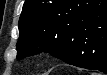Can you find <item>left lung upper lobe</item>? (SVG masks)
Masks as SVG:
<instances>
[{
    "mask_svg": "<svg viewBox=\"0 0 107 75\" xmlns=\"http://www.w3.org/2000/svg\"><path fill=\"white\" fill-rule=\"evenodd\" d=\"M98 5L93 0H26L18 24L17 58L64 52L73 45L79 23Z\"/></svg>",
    "mask_w": 107,
    "mask_h": 75,
    "instance_id": "obj_1",
    "label": "left lung upper lobe"
}]
</instances>
